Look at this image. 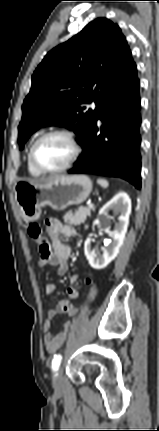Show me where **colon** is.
<instances>
[{"label": "colon", "mask_w": 159, "mask_h": 431, "mask_svg": "<svg viewBox=\"0 0 159 431\" xmlns=\"http://www.w3.org/2000/svg\"><path fill=\"white\" fill-rule=\"evenodd\" d=\"M29 235L36 239L37 242H43L45 241V236L41 234V228L38 223H31L28 228ZM41 246H44V243H41ZM87 283L89 284L88 287V294H86V297L83 299V304L86 307H90L91 304H95L96 301L99 299V296L96 293V289L98 288V285L96 284V281L93 277L87 278ZM81 311L80 307H75V310H69V314L67 315L68 319H75L78 312Z\"/></svg>", "instance_id": "5ec220e1"}]
</instances>
